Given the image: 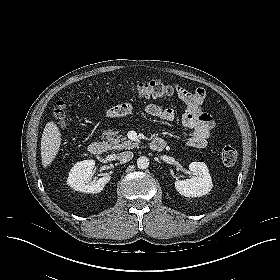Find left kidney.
<instances>
[{
  "mask_svg": "<svg viewBox=\"0 0 280 280\" xmlns=\"http://www.w3.org/2000/svg\"><path fill=\"white\" fill-rule=\"evenodd\" d=\"M189 169L194 176L175 181L176 190L185 197H200L209 193L213 184L207 165L203 162H192Z\"/></svg>",
  "mask_w": 280,
  "mask_h": 280,
  "instance_id": "5707ae66",
  "label": "left kidney"
}]
</instances>
